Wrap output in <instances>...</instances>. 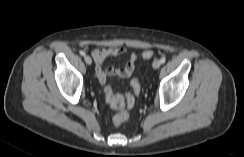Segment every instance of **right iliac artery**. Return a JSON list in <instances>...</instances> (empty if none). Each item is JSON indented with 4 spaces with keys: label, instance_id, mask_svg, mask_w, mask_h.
Instances as JSON below:
<instances>
[{
    "label": "right iliac artery",
    "instance_id": "82829eb1",
    "mask_svg": "<svg viewBox=\"0 0 244 157\" xmlns=\"http://www.w3.org/2000/svg\"><path fill=\"white\" fill-rule=\"evenodd\" d=\"M80 55L85 56L86 53L84 51H80Z\"/></svg>",
    "mask_w": 244,
    "mask_h": 157
}]
</instances>
